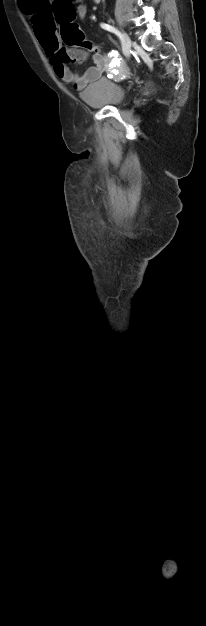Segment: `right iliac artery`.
Instances as JSON below:
<instances>
[{"label": "right iliac artery", "mask_w": 206, "mask_h": 626, "mask_svg": "<svg viewBox=\"0 0 206 626\" xmlns=\"http://www.w3.org/2000/svg\"><path fill=\"white\" fill-rule=\"evenodd\" d=\"M100 26L101 28L116 34L120 38V40L123 42L121 33L115 27L110 26L109 24H106V23H101Z\"/></svg>", "instance_id": "82829eb1"}]
</instances>
